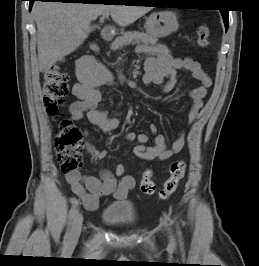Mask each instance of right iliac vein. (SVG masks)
Listing matches in <instances>:
<instances>
[{
    "mask_svg": "<svg viewBox=\"0 0 259 266\" xmlns=\"http://www.w3.org/2000/svg\"><path fill=\"white\" fill-rule=\"evenodd\" d=\"M82 223H83V215L82 213H78L74 219L71 234H70L71 243H75L78 241L80 233H81Z\"/></svg>",
    "mask_w": 259,
    "mask_h": 266,
    "instance_id": "obj_1",
    "label": "right iliac vein"
}]
</instances>
